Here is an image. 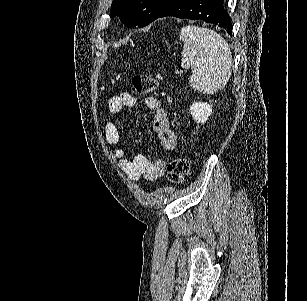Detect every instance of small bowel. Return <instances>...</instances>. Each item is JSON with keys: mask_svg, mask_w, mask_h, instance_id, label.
Returning <instances> with one entry per match:
<instances>
[{"mask_svg": "<svg viewBox=\"0 0 307 301\" xmlns=\"http://www.w3.org/2000/svg\"><path fill=\"white\" fill-rule=\"evenodd\" d=\"M142 105L153 113V129L156 132L161 147L171 151L176 147V136L170 127V120L162 101L153 96L141 100ZM137 104V99L131 93L122 92L112 96L107 102V109L112 115H118L123 108H132ZM104 135L107 143L111 146L110 154L118 162L122 172L131 180H138L141 177L149 181L160 178L165 171L163 159L149 160L144 155H135L132 159L125 158V151L119 146L120 132L116 124L106 122Z\"/></svg>", "mask_w": 307, "mask_h": 301, "instance_id": "1", "label": "small bowel"}]
</instances>
